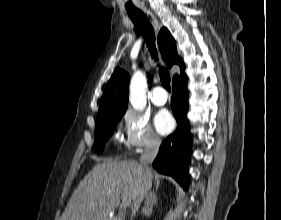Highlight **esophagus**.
I'll return each instance as SVG.
<instances>
[{"instance_id":"1","label":"esophagus","mask_w":281,"mask_h":220,"mask_svg":"<svg viewBox=\"0 0 281 220\" xmlns=\"http://www.w3.org/2000/svg\"><path fill=\"white\" fill-rule=\"evenodd\" d=\"M143 11L146 13L149 21L152 23V25L155 27V29H159L160 23H159L158 19L156 18V16L154 15V13L146 7L143 8Z\"/></svg>"}]
</instances>
